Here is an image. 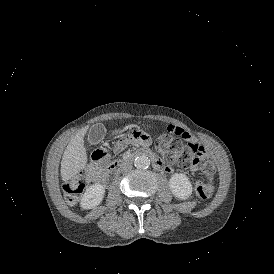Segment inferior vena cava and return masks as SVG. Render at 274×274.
<instances>
[{"label": "inferior vena cava", "instance_id": "602c4592", "mask_svg": "<svg viewBox=\"0 0 274 274\" xmlns=\"http://www.w3.org/2000/svg\"><path fill=\"white\" fill-rule=\"evenodd\" d=\"M131 169H132V166L130 164H125L124 166L121 167V171H128Z\"/></svg>", "mask_w": 274, "mask_h": 274}]
</instances>
